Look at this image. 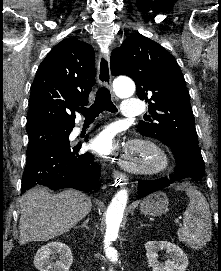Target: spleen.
Instances as JSON below:
<instances>
[{"mask_svg":"<svg viewBox=\"0 0 221 271\" xmlns=\"http://www.w3.org/2000/svg\"><path fill=\"white\" fill-rule=\"evenodd\" d=\"M188 207L183 213V225L177 231L179 241L193 249H202L212 235L211 213L208 201L200 191H188Z\"/></svg>","mask_w":221,"mask_h":271,"instance_id":"1","label":"spleen"}]
</instances>
